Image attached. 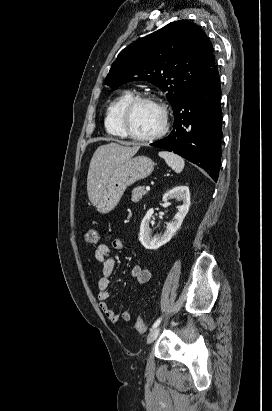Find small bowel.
Masks as SVG:
<instances>
[{
    "instance_id": "small-bowel-1",
    "label": "small bowel",
    "mask_w": 272,
    "mask_h": 411,
    "mask_svg": "<svg viewBox=\"0 0 272 411\" xmlns=\"http://www.w3.org/2000/svg\"><path fill=\"white\" fill-rule=\"evenodd\" d=\"M124 244L122 240L115 239L112 242V247L106 244H100L95 251V259L102 267V273L98 280V299L99 307L104 315L112 323H117L120 320L129 321L131 314L128 310L122 312L121 315L117 314L107 303L110 297V279L115 269V258L112 251L122 250ZM131 277L135 279L139 284L148 283L151 279V272L145 265H135L131 269Z\"/></svg>"
}]
</instances>
